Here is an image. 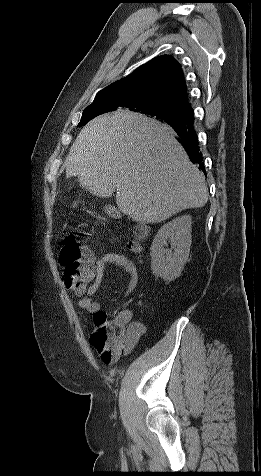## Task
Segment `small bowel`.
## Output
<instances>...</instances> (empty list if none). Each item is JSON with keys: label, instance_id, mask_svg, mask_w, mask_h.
Here are the masks:
<instances>
[{"label": "small bowel", "instance_id": "c3829d8e", "mask_svg": "<svg viewBox=\"0 0 261 476\" xmlns=\"http://www.w3.org/2000/svg\"><path fill=\"white\" fill-rule=\"evenodd\" d=\"M108 266H117L127 274V286L125 294H130L138 285V272L135 264L127 256L116 252H106L96 261L92 260V277L88 285L75 292L80 297L79 306L92 313L94 316L101 312L99 302L93 299L94 294L100 288L105 269ZM110 326L123 332V341L108 356L101 355L105 363H112L121 355L128 353L136 344L144 331V326L134 321L131 311L124 309L118 312L111 320Z\"/></svg>", "mask_w": 261, "mask_h": 476}]
</instances>
